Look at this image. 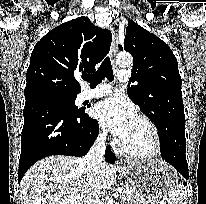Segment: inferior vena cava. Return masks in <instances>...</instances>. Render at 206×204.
Segmentation results:
<instances>
[{
  "label": "inferior vena cava",
  "mask_w": 206,
  "mask_h": 204,
  "mask_svg": "<svg viewBox=\"0 0 206 204\" xmlns=\"http://www.w3.org/2000/svg\"><path fill=\"white\" fill-rule=\"evenodd\" d=\"M105 143L106 134H99L89 152L83 158V163L86 165V175L89 185L84 204H101L102 187L100 185V177L103 172Z\"/></svg>",
  "instance_id": "602c4592"
}]
</instances>
